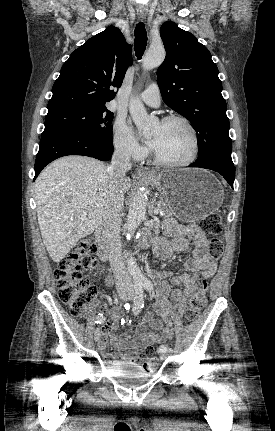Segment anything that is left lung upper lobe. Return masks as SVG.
<instances>
[{"instance_id": "1", "label": "left lung upper lobe", "mask_w": 275, "mask_h": 431, "mask_svg": "<svg viewBox=\"0 0 275 431\" xmlns=\"http://www.w3.org/2000/svg\"><path fill=\"white\" fill-rule=\"evenodd\" d=\"M166 57L157 71L163 101L187 118L198 136L199 156L230 155L229 119L218 68L208 49L174 22L161 26Z\"/></svg>"}]
</instances>
